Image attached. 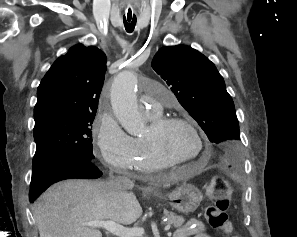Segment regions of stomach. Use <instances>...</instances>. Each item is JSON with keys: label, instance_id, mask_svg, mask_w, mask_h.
<instances>
[{"label": "stomach", "instance_id": "obj_1", "mask_svg": "<svg viewBox=\"0 0 297 237\" xmlns=\"http://www.w3.org/2000/svg\"><path fill=\"white\" fill-rule=\"evenodd\" d=\"M171 206L182 213L194 212L203 199L202 193L191 184H182L169 195Z\"/></svg>", "mask_w": 297, "mask_h": 237}]
</instances>
